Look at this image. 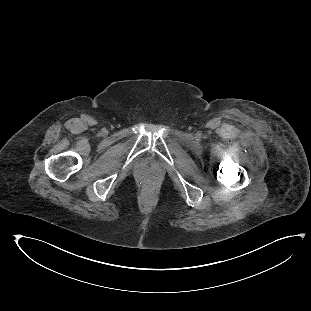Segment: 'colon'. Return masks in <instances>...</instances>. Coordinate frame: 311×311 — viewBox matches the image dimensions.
<instances>
[{
  "instance_id": "obj_1",
  "label": "colon",
  "mask_w": 311,
  "mask_h": 311,
  "mask_svg": "<svg viewBox=\"0 0 311 311\" xmlns=\"http://www.w3.org/2000/svg\"><path fill=\"white\" fill-rule=\"evenodd\" d=\"M143 189H144V191L147 192V193H152V192H154L155 189H156V184H155V182L152 181V180H147V181H145L144 184H143Z\"/></svg>"
}]
</instances>
